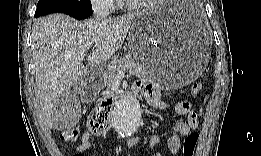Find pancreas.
<instances>
[{
    "mask_svg": "<svg viewBox=\"0 0 261 156\" xmlns=\"http://www.w3.org/2000/svg\"><path fill=\"white\" fill-rule=\"evenodd\" d=\"M120 70H123L124 72L127 71L138 76L145 73L144 65L138 60L136 56L128 53L122 58L113 60L108 65L104 73V86H107V88L110 89L112 81Z\"/></svg>",
    "mask_w": 261,
    "mask_h": 156,
    "instance_id": "1",
    "label": "pancreas"
}]
</instances>
